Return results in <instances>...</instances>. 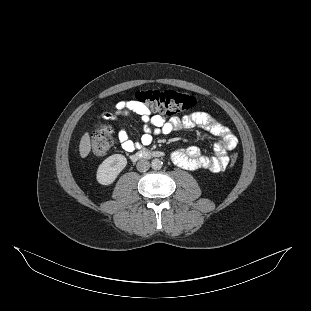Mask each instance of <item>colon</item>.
Returning a JSON list of instances; mask_svg holds the SVG:
<instances>
[{"mask_svg":"<svg viewBox=\"0 0 311 311\" xmlns=\"http://www.w3.org/2000/svg\"><path fill=\"white\" fill-rule=\"evenodd\" d=\"M136 99L146 105L150 110L165 114L176 115L192 108L196 100L193 96L179 93L174 90H145L136 93ZM111 129L105 125H99L92 141V154L101 157L107 153L112 145ZM238 159L237 153H232L229 166L233 167Z\"/></svg>","mask_w":311,"mask_h":311,"instance_id":"obj_1","label":"colon"}]
</instances>
